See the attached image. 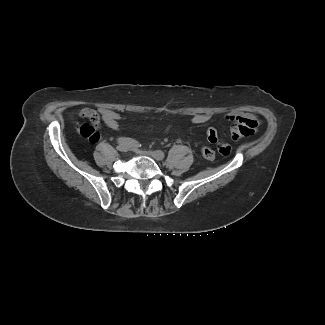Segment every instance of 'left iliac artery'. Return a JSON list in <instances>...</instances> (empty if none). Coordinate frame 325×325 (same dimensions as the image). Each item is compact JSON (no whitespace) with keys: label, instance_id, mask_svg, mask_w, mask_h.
<instances>
[{"label":"left iliac artery","instance_id":"obj_1","mask_svg":"<svg viewBox=\"0 0 325 325\" xmlns=\"http://www.w3.org/2000/svg\"><path fill=\"white\" fill-rule=\"evenodd\" d=\"M156 152H157V154H158L160 160H162V159L165 157L164 152H162L161 150H157Z\"/></svg>","mask_w":325,"mask_h":325}]
</instances>
